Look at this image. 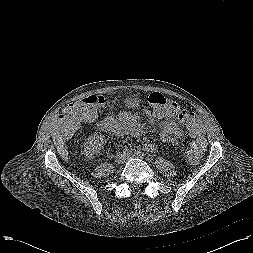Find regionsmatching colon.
Masks as SVG:
<instances>
[{"mask_svg":"<svg viewBox=\"0 0 253 253\" xmlns=\"http://www.w3.org/2000/svg\"><path fill=\"white\" fill-rule=\"evenodd\" d=\"M148 102L156 116L176 117L186 125L193 137L186 145V155L191 162H197L206 148L200 118L194 112L181 109L175 101L160 93L149 95ZM108 103L109 99L104 96L90 95L70 104L60 116L61 130L67 136L72 135L81 123L93 120Z\"/></svg>","mask_w":253,"mask_h":253,"instance_id":"5ec220e1","label":"colon"}]
</instances>
